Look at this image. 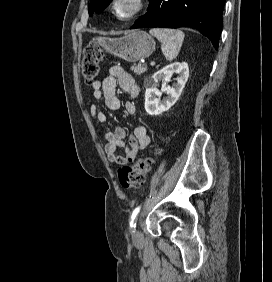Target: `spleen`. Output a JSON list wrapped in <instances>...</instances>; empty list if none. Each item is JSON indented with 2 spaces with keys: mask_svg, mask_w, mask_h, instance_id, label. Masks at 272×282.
<instances>
[{
  "mask_svg": "<svg viewBox=\"0 0 272 282\" xmlns=\"http://www.w3.org/2000/svg\"><path fill=\"white\" fill-rule=\"evenodd\" d=\"M150 34L161 42L162 53L167 60L172 61L178 56L185 37L181 30L152 28Z\"/></svg>",
  "mask_w": 272,
  "mask_h": 282,
  "instance_id": "spleen-1",
  "label": "spleen"
}]
</instances>
